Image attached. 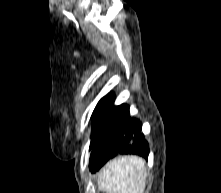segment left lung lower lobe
<instances>
[{
    "instance_id": "1",
    "label": "left lung lower lobe",
    "mask_w": 221,
    "mask_h": 193,
    "mask_svg": "<svg viewBox=\"0 0 221 193\" xmlns=\"http://www.w3.org/2000/svg\"><path fill=\"white\" fill-rule=\"evenodd\" d=\"M108 125L90 154L89 168L98 171L117 155L136 154L147 159L149 145L142 133V124L130 117L129 106L112 104L108 113Z\"/></svg>"
}]
</instances>
